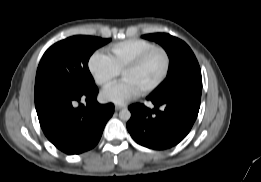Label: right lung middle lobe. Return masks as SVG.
<instances>
[{
  "label": "right lung middle lobe",
  "instance_id": "1",
  "mask_svg": "<svg viewBox=\"0 0 261 182\" xmlns=\"http://www.w3.org/2000/svg\"><path fill=\"white\" fill-rule=\"evenodd\" d=\"M110 41V38L78 35L52 45L39 63L35 93L55 86L64 87L80 96L96 91L88 61L97 48Z\"/></svg>",
  "mask_w": 261,
  "mask_h": 182
}]
</instances>
